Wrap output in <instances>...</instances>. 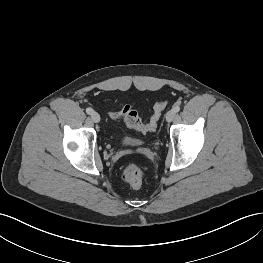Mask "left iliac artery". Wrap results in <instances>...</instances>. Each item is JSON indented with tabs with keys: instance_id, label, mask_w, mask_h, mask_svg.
<instances>
[{
	"instance_id": "44dca946",
	"label": "left iliac artery",
	"mask_w": 263,
	"mask_h": 263,
	"mask_svg": "<svg viewBox=\"0 0 263 263\" xmlns=\"http://www.w3.org/2000/svg\"><path fill=\"white\" fill-rule=\"evenodd\" d=\"M173 110L177 113L180 111V106L179 105H176L174 106Z\"/></svg>"
}]
</instances>
